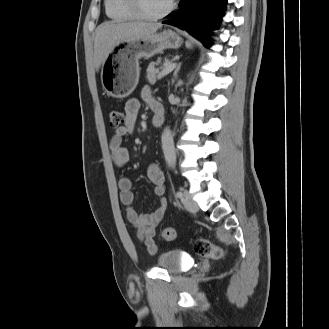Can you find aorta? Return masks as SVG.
Listing matches in <instances>:
<instances>
[{"instance_id": "obj_1", "label": "aorta", "mask_w": 329, "mask_h": 329, "mask_svg": "<svg viewBox=\"0 0 329 329\" xmlns=\"http://www.w3.org/2000/svg\"><path fill=\"white\" fill-rule=\"evenodd\" d=\"M161 141L165 160L168 166L173 167L176 163V152L174 148L173 136L169 128L164 129L161 136Z\"/></svg>"}]
</instances>
